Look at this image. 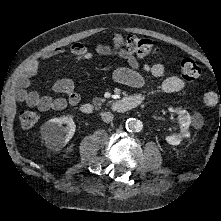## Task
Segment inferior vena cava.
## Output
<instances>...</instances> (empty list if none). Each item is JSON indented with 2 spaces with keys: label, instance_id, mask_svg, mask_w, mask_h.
I'll use <instances>...</instances> for the list:
<instances>
[{
  "label": "inferior vena cava",
  "instance_id": "602c4592",
  "mask_svg": "<svg viewBox=\"0 0 221 221\" xmlns=\"http://www.w3.org/2000/svg\"><path fill=\"white\" fill-rule=\"evenodd\" d=\"M101 118L104 122L109 123L113 121L114 115L111 112H103Z\"/></svg>",
  "mask_w": 221,
  "mask_h": 221
}]
</instances>
